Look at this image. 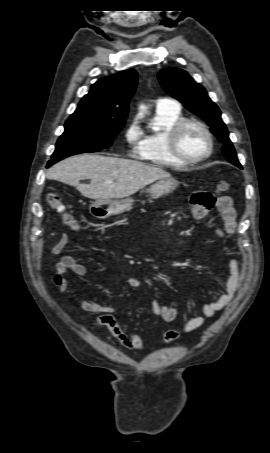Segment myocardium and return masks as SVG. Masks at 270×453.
Instances as JSON below:
<instances>
[{"mask_svg":"<svg viewBox=\"0 0 270 453\" xmlns=\"http://www.w3.org/2000/svg\"><path fill=\"white\" fill-rule=\"evenodd\" d=\"M197 126L198 128L201 129V131L205 134L207 141H208V148L205 154H203L200 157L197 158H190L185 156L183 153H181L179 149V138L182 133V131L187 127V126ZM167 147L170 152V154L179 162L183 164H198L206 159H208L214 149V139L211 131L207 127V125L197 119H187L183 118L176 122L172 128L169 130L168 135H167Z\"/></svg>","mask_w":270,"mask_h":453,"instance_id":"myocardium-1","label":"myocardium"}]
</instances>
